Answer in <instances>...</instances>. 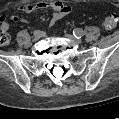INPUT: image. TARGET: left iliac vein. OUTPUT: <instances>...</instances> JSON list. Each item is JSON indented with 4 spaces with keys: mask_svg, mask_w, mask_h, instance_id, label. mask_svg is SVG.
<instances>
[{
    "mask_svg": "<svg viewBox=\"0 0 119 119\" xmlns=\"http://www.w3.org/2000/svg\"><path fill=\"white\" fill-rule=\"evenodd\" d=\"M65 36H66V38H68L69 40H71V41H73V42H76V43H78V44H80V43L82 42L81 39L76 38V37H74V36L71 35V34H66Z\"/></svg>",
    "mask_w": 119,
    "mask_h": 119,
    "instance_id": "left-iliac-vein-1",
    "label": "left iliac vein"
}]
</instances>
